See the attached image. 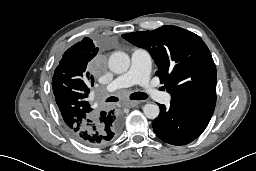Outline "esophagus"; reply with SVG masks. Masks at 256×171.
<instances>
[{
	"mask_svg": "<svg viewBox=\"0 0 256 171\" xmlns=\"http://www.w3.org/2000/svg\"><path fill=\"white\" fill-rule=\"evenodd\" d=\"M140 103H141V101H128L126 103V106L128 108H134V107L138 106Z\"/></svg>",
	"mask_w": 256,
	"mask_h": 171,
	"instance_id": "1",
	"label": "esophagus"
}]
</instances>
